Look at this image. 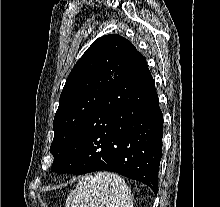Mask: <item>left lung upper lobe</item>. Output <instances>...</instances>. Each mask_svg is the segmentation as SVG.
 I'll use <instances>...</instances> for the list:
<instances>
[{
    "label": "left lung upper lobe",
    "instance_id": "1",
    "mask_svg": "<svg viewBox=\"0 0 220 207\" xmlns=\"http://www.w3.org/2000/svg\"><path fill=\"white\" fill-rule=\"evenodd\" d=\"M136 53V47L126 38L106 35L98 38L76 63L60 95L53 121L52 167L96 113Z\"/></svg>",
    "mask_w": 220,
    "mask_h": 207
}]
</instances>
